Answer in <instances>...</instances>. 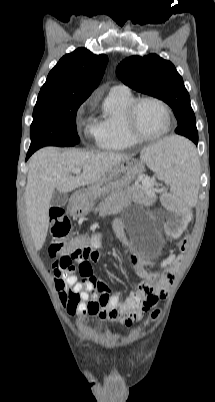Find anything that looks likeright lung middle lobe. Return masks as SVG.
I'll return each mask as SVG.
<instances>
[{"label":"right lung middle lobe","instance_id":"obj_1","mask_svg":"<svg viewBox=\"0 0 215 402\" xmlns=\"http://www.w3.org/2000/svg\"><path fill=\"white\" fill-rule=\"evenodd\" d=\"M87 98L38 96L33 111L29 152L48 146H74L80 142L76 112Z\"/></svg>","mask_w":215,"mask_h":402}]
</instances>
